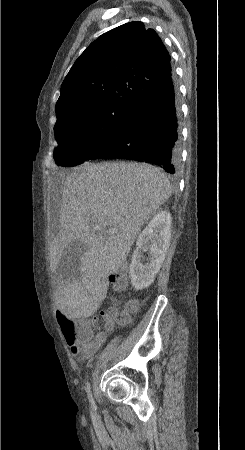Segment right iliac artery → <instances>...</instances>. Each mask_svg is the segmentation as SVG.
Segmentation results:
<instances>
[{
    "instance_id": "1",
    "label": "right iliac artery",
    "mask_w": 245,
    "mask_h": 450,
    "mask_svg": "<svg viewBox=\"0 0 245 450\" xmlns=\"http://www.w3.org/2000/svg\"><path fill=\"white\" fill-rule=\"evenodd\" d=\"M86 389H87L89 401H90V403H91V407L94 408V407H95V403H94V400H93V397H92V393H91V391H90V385H89V383H87Z\"/></svg>"
}]
</instances>
